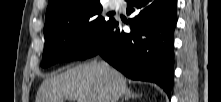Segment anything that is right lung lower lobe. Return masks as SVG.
Masks as SVG:
<instances>
[{
    "label": "right lung lower lobe",
    "mask_w": 221,
    "mask_h": 102,
    "mask_svg": "<svg viewBox=\"0 0 221 102\" xmlns=\"http://www.w3.org/2000/svg\"><path fill=\"white\" fill-rule=\"evenodd\" d=\"M131 32L121 30L117 20L77 59L99 54L124 75L155 82L171 98L174 65L176 0H126Z\"/></svg>",
    "instance_id": "98d812e1"
}]
</instances>
